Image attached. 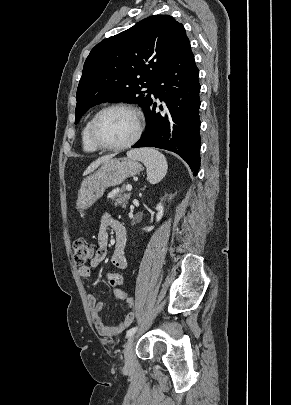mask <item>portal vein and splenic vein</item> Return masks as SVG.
<instances>
[{
  "mask_svg": "<svg viewBox=\"0 0 291 405\" xmlns=\"http://www.w3.org/2000/svg\"><path fill=\"white\" fill-rule=\"evenodd\" d=\"M126 190L130 192V191L132 190V186H131L130 184H128V185L126 186Z\"/></svg>",
  "mask_w": 291,
  "mask_h": 405,
  "instance_id": "obj_1",
  "label": "portal vein and splenic vein"
}]
</instances>
